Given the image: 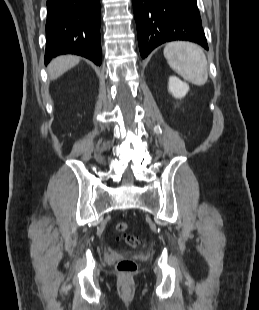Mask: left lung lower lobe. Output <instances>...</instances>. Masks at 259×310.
Segmentation results:
<instances>
[{
	"label": "left lung lower lobe",
	"mask_w": 259,
	"mask_h": 310,
	"mask_svg": "<svg viewBox=\"0 0 259 310\" xmlns=\"http://www.w3.org/2000/svg\"><path fill=\"white\" fill-rule=\"evenodd\" d=\"M142 58L162 43L187 40L208 49L196 0H132Z\"/></svg>",
	"instance_id": "obj_1"
}]
</instances>
